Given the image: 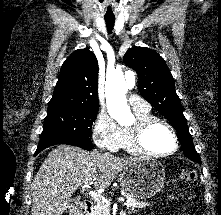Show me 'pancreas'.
Wrapping results in <instances>:
<instances>
[{
    "instance_id": "pancreas-1",
    "label": "pancreas",
    "mask_w": 221,
    "mask_h": 215,
    "mask_svg": "<svg viewBox=\"0 0 221 215\" xmlns=\"http://www.w3.org/2000/svg\"><path fill=\"white\" fill-rule=\"evenodd\" d=\"M121 195L126 196L127 199H129L127 202H125V206L128 209L134 210L135 208H144L146 206H149L150 203L137 200L128 194H126L124 191H121ZM93 215H110V204H106L105 202H99L96 204Z\"/></svg>"
}]
</instances>
